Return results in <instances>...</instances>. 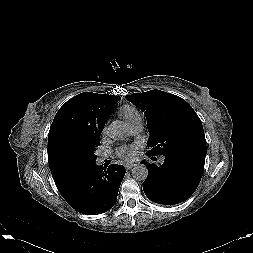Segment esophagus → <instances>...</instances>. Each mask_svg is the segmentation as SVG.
<instances>
[{
    "label": "esophagus",
    "mask_w": 253,
    "mask_h": 253,
    "mask_svg": "<svg viewBox=\"0 0 253 253\" xmlns=\"http://www.w3.org/2000/svg\"><path fill=\"white\" fill-rule=\"evenodd\" d=\"M133 166H134L133 163H126V164H125V169H126V170H130Z\"/></svg>",
    "instance_id": "1"
}]
</instances>
